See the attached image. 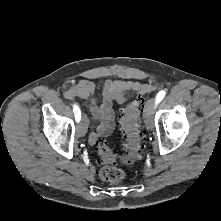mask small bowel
<instances>
[{"label":"small bowel","mask_w":221,"mask_h":221,"mask_svg":"<svg viewBox=\"0 0 221 221\" xmlns=\"http://www.w3.org/2000/svg\"><path fill=\"white\" fill-rule=\"evenodd\" d=\"M96 85L91 80H80L70 86L64 93V97L72 99L79 97L88 101L89 111L94 120V132L89 136L91 145L97 144L100 137L108 136L114 129V112L112 102H125L126 93L129 91L140 94L148 92L151 87L134 80H107L102 90V102L97 103L95 94Z\"/></svg>","instance_id":"obj_1"}]
</instances>
